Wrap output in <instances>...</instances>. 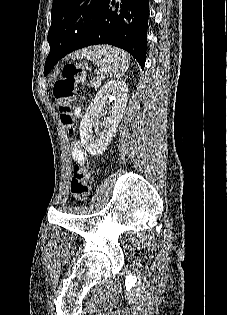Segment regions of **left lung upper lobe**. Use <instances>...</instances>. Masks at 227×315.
I'll return each instance as SVG.
<instances>
[{"mask_svg": "<svg viewBox=\"0 0 227 315\" xmlns=\"http://www.w3.org/2000/svg\"><path fill=\"white\" fill-rule=\"evenodd\" d=\"M105 0H53L48 42L61 39L63 46L77 42L97 17Z\"/></svg>", "mask_w": 227, "mask_h": 315, "instance_id": "1", "label": "left lung upper lobe"}]
</instances>
